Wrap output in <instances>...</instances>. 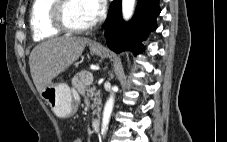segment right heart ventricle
<instances>
[{
  "instance_id": "obj_1",
  "label": "right heart ventricle",
  "mask_w": 227,
  "mask_h": 142,
  "mask_svg": "<svg viewBox=\"0 0 227 142\" xmlns=\"http://www.w3.org/2000/svg\"><path fill=\"white\" fill-rule=\"evenodd\" d=\"M55 0H33L30 11V28L35 41L56 37L61 31L53 27L49 12Z\"/></svg>"
}]
</instances>
